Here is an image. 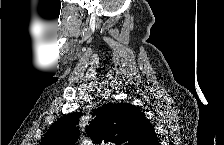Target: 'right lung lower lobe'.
<instances>
[{"label": "right lung lower lobe", "mask_w": 224, "mask_h": 145, "mask_svg": "<svg viewBox=\"0 0 224 145\" xmlns=\"http://www.w3.org/2000/svg\"><path fill=\"white\" fill-rule=\"evenodd\" d=\"M152 145H159V142L157 140L152 142Z\"/></svg>", "instance_id": "98d812e1"}]
</instances>
